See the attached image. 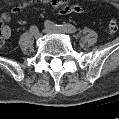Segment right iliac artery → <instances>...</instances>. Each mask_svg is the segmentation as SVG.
<instances>
[{
  "label": "right iliac artery",
  "mask_w": 119,
  "mask_h": 119,
  "mask_svg": "<svg viewBox=\"0 0 119 119\" xmlns=\"http://www.w3.org/2000/svg\"><path fill=\"white\" fill-rule=\"evenodd\" d=\"M37 31H38V28H37L36 26H31V27H30V32H31L32 34L36 33Z\"/></svg>",
  "instance_id": "right-iliac-artery-1"
}]
</instances>
